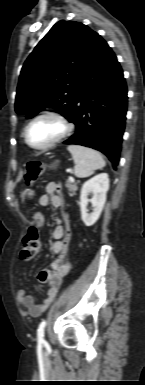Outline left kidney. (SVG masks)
Here are the masks:
<instances>
[{"instance_id":"left-kidney-1","label":"left kidney","mask_w":145,"mask_h":385,"mask_svg":"<svg viewBox=\"0 0 145 385\" xmlns=\"http://www.w3.org/2000/svg\"><path fill=\"white\" fill-rule=\"evenodd\" d=\"M109 189V177L106 173H101L85 182L81 189L80 210L81 218L86 226H92L100 217L106 202V193ZM92 193L93 197L88 199ZM91 202L93 212H87V205Z\"/></svg>"}]
</instances>
